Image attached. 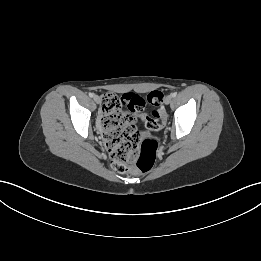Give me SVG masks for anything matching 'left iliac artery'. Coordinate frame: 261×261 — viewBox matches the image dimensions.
I'll use <instances>...</instances> for the list:
<instances>
[{
	"instance_id": "1",
	"label": "left iliac artery",
	"mask_w": 261,
	"mask_h": 261,
	"mask_svg": "<svg viewBox=\"0 0 261 261\" xmlns=\"http://www.w3.org/2000/svg\"><path fill=\"white\" fill-rule=\"evenodd\" d=\"M176 95H177L176 92H173V93L171 94L172 97H176Z\"/></svg>"
}]
</instances>
